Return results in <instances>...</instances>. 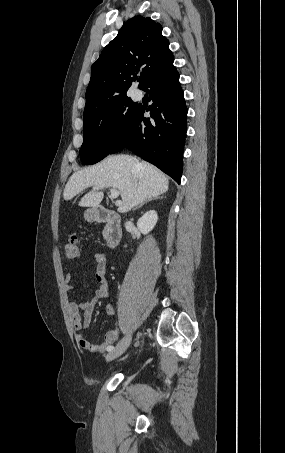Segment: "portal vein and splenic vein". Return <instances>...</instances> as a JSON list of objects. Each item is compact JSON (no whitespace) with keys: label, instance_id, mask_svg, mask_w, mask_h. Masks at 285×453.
<instances>
[{"label":"portal vein and splenic vein","instance_id":"obj_1","mask_svg":"<svg viewBox=\"0 0 285 453\" xmlns=\"http://www.w3.org/2000/svg\"><path fill=\"white\" fill-rule=\"evenodd\" d=\"M110 192H111V197H112L113 199H115V198H117V197L119 196V191H118L117 189H115V188H112V189L110 190ZM116 204H117V205H120L121 202H120V201H117Z\"/></svg>","mask_w":285,"mask_h":453}]
</instances>
